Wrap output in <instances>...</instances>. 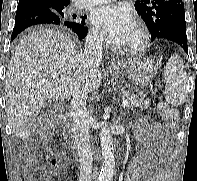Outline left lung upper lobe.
Segmentation results:
<instances>
[{
  "mask_svg": "<svg viewBox=\"0 0 197 181\" xmlns=\"http://www.w3.org/2000/svg\"><path fill=\"white\" fill-rule=\"evenodd\" d=\"M138 15L145 21L152 40L177 24H186L182 0H140L135 3Z\"/></svg>",
  "mask_w": 197,
  "mask_h": 181,
  "instance_id": "1",
  "label": "left lung upper lobe"
}]
</instances>
